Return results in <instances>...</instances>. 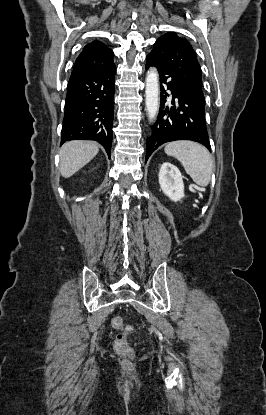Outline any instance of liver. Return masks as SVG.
Returning a JSON list of instances; mask_svg holds the SVG:
<instances>
[{"mask_svg":"<svg viewBox=\"0 0 266 415\" xmlns=\"http://www.w3.org/2000/svg\"><path fill=\"white\" fill-rule=\"evenodd\" d=\"M99 145L92 141L66 142L60 149V172L69 178L89 163L98 153Z\"/></svg>","mask_w":266,"mask_h":415,"instance_id":"1","label":"liver"}]
</instances>
